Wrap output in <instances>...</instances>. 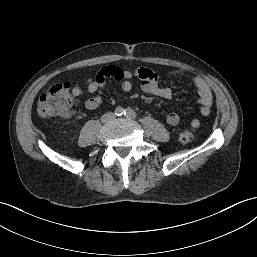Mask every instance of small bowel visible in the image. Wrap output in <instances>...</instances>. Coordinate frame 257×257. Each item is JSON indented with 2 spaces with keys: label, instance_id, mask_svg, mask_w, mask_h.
Returning a JSON list of instances; mask_svg holds the SVG:
<instances>
[{
  "label": "small bowel",
  "instance_id": "c3829d8e",
  "mask_svg": "<svg viewBox=\"0 0 257 257\" xmlns=\"http://www.w3.org/2000/svg\"><path fill=\"white\" fill-rule=\"evenodd\" d=\"M101 75L105 78L103 83L98 81V77ZM168 75L187 77L196 89L198 103L201 105V114L204 116L210 115L213 104V95L209 85L203 78L191 75L183 70L171 71ZM107 78H113L119 81L120 87L124 92H129L133 87L132 81L138 79L140 88L144 93L162 99H170L172 97L171 88L160 84L159 76L155 71L147 67L124 69L118 66L103 67L96 75L85 78L84 87L75 86L73 88V94L77 97L91 95V97L85 101V108L88 110L97 109L103 102L102 90ZM181 119L182 115L177 112H171L166 116V122L170 126H177ZM190 124L193 128H198L200 121L198 119H193Z\"/></svg>",
  "mask_w": 257,
  "mask_h": 257
}]
</instances>
